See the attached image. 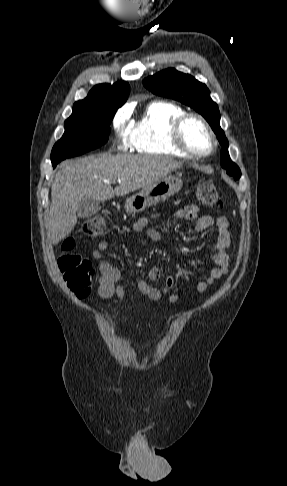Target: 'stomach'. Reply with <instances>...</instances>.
Instances as JSON below:
<instances>
[{"instance_id": "stomach-1", "label": "stomach", "mask_w": 287, "mask_h": 486, "mask_svg": "<svg viewBox=\"0 0 287 486\" xmlns=\"http://www.w3.org/2000/svg\"><path fill=\"white\" fill-rule=\"evenodd\" d=\"M182 185L183 182L180 178L166 176L127 198L125 210L128 213L143 211L148 206L174 195L182 188Z\"/></svg>"}]
</instances>
